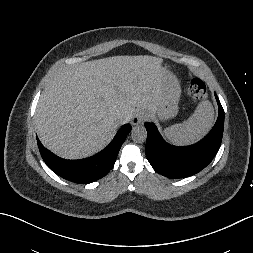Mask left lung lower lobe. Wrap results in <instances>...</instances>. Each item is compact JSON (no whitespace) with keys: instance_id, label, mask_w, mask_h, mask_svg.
Segmentation results:
<instances>
[{"instance_id":"obj_1","label":"left lung lower lobe","mask_w":253,"mask_h":253,"mask_svg":"<svg viewBox=\"0 0 253 253\" xmlns=\"http://www.w3.org/2000/svg\"><path fill=\"white\" fill-rule=\"evenodd\" d=\"M215 97L219 108L217 121L197 144L172 146L163 140L153 123H145L148 133L145 152L155 171L168 178H183L200 172L212 161L220 148L224 128V110L216 94Z\"/></svg>"}]
</instances>
